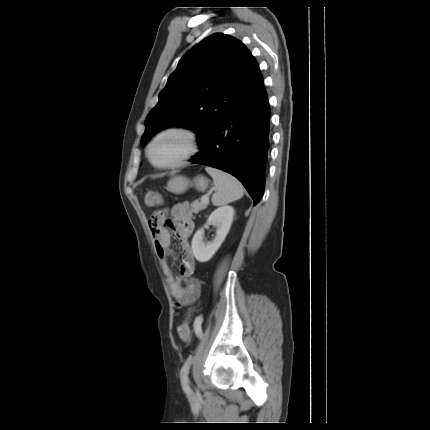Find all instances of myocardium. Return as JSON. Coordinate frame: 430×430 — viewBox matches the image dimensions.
I'll return each mask as SVG.
<instances>
[{
	"mask_svg": "<svg viewBox=\"0 0 430 430\" xmlns=\"http://www.w3.org/2000/svg\"><path fill=\"white\" fill-rule=\"evenodd\" d=\"M170 133H179V134H182L183 136H185V138L187 139V149L180 157H178L177 159H175L171 163L159 164L154 160V158L152 156V149H153L154 145L156 144V142L161 137H163L167 134H170ZM197 152H198V138H197L196 133L194 131H192L191 129L183 127V126H170V127L165 128V129H162L161 131L156 133L150 139V141L148 142L147 147H146V156H147L149 162L154 167H156L158 169H163V170L173 169V168H176V167L184 164L185 162L190 160L194 155H196Z\"/></svg>",
	"mask_w": 430,
	"mask_h": 430,
	"instance_id": "f54148a6",
	"label": "myocardium"
}]
</instances>
